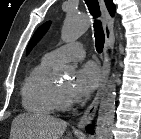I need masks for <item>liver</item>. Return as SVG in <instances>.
I'll use <instances>...</instances> for the list:
<instances>
[{
    "label": "liver",
    "instance_id": "obj_1",
    "mask_svg": "<svg viewBox=\"0 0 141 139\" xmlns=\"http://www.w3.org/2000/svg\"><path fill=\"white\" fill-rule=\"evenodd\" d=\"M67 122L42 113L17 115L11 125V139H60Z\"/></svg>",
    "mask_w": 141,
    "mask_h": 139
}]
</instances>
